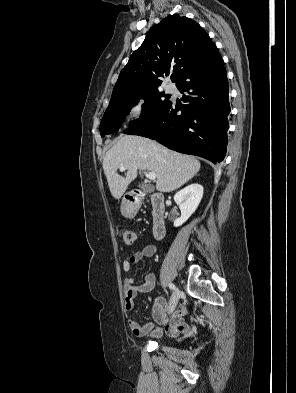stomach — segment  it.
<instances>
[{"label": "stomach", "instance_id": "obj_1", "mask_svg": "<svg viewBox=\"0 0 296 393\" xmlns=\"http://www.w3.org/2000/svg\"><path fill=\"white\" fill-rule=\"evenodd\" d=\"M121 213L125 217H130L133 214V211L127 203L123 202L121 205Z\"/></svg>", "mask_w": 296, "mask_h": 393}]
</instances>
